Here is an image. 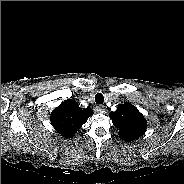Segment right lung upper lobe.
<instances>
[{
    "instance_id": "cb5924a9",
    "label": "right lung upper lobe",
    "mask_w": 184,
    "mask_h": 184,
    "mask_svg": "<svg viewBox=\"0 0 184 184\" xmlns=\"http://www.w3.org/2000/svg\"><path fill=\"white\" fill-rule=\"evenodd\" d=\"M92 114L90 108H80L75 100L68 99L52 111L50 121L59 134L70 138Z\"/></svg>"
}]
</instances>
